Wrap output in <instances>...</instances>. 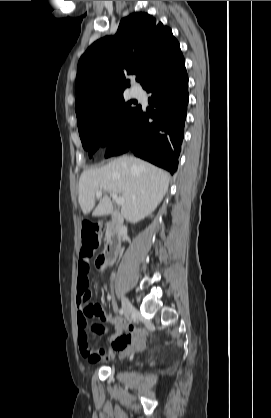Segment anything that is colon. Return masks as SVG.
Returning <instances> with one entry per match:
<instances>
[{
	"label": "colon",
	"mask_w": 271,
	"mask_h": 418,
	"mask_svg": "<svg viewBox=\"0 0 271 418\" xmlns=\"http://www.w3.org/2000/svg\"><path fill=\"white\" fill-rule=\"evenodd\" d=\"M82 246L80 255L83 259H89L94 254L98 244V226L93 222H86L82 226ZM97 266L100 267L99 261ZM86 328H82L80 340L84 344H90L89 339L85 337Z\"/></svg>",
	"instance_id": "obj_1"
}]
</instances>
